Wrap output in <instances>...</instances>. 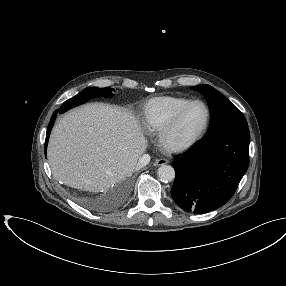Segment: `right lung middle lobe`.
<instances>
[{
    "label": "right lung middle lobe",
    "instance_id": "obj_1",
    "mask_svg": "<svg viewBox=\"0 0 286 286\" xmlns=\"http://www.w3.org/2000/svg\"><path fill=\"white\" fill-rule=\"evenodd\" d=\"M111 90L112 89L110 87H106V88L88 87L84 89L83 91H81L76 96L65 101L62 104L61 108L59 109V112L63 113L75 106L83 104L92 97H96V96L111 97L113 95Z\"/></svg>",
    "mask_w": 286,
    "mask_h": 286
}]
</instances>
